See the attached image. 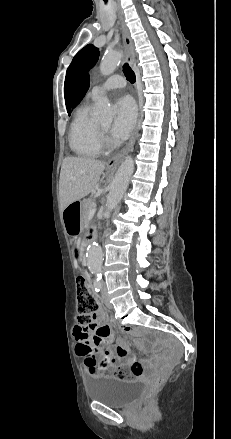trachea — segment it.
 Returning <instances> with one entry per match:
<instances>
[{"mask_svg": "<svg viewBox=\"0 0 231 439\" xmlns=\"http://www.w3.org/2000/svg\"><path fill=\"white\" fill-rule=\"evenodd\" d=\"M123 72H124V75L126 76V78L129 82H131V83L135 82V80H136L135 73L129 67V65L127 63H125L123 65Z\"/></svg>", "mask_w": 231, "mask_h": 439, "instance_id": "trachea-1", "label": "trachea"}]
</instances>
